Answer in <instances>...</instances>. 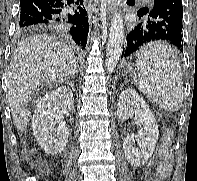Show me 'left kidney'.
I'll list each match as a JSON object with an SVG mask.
<instances>
[{
	"label": "left kidney",
	"instance_id": "left-kidney-1",
	"mask_svg": "<svg viewBox=\"0 0 197 181\" xmlns=\"http://www.w3.org/2000/svg\"><path fill=\"white\" fill-rule=\"evenodd\" d=\"M133 115L140 129L138 135L125 138L123 149L127 161L134 167H140L147 162L155 150L159 136L158 124L143 98L134 89L126 88L119 98L117 116L125 121ZM135 139L140 149L134 147Z\"/></svg>",
	"mask_w": 197,
	"mask_h": 181
}]
</instances>
